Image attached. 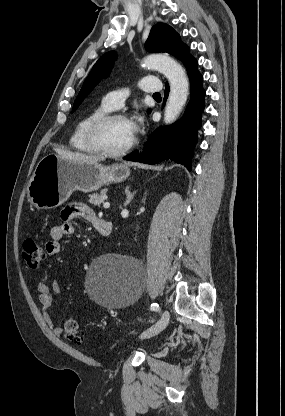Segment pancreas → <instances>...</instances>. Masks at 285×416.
<instances>
[{"instance_id": "cf45deb5", "label": "pancreas", "mask_w": 285, "mask_h": 416, "mask_svg": "<svg viewBox=\"0 0 285 416\" xmlns=\"http://www.w3.org/2000/svg\"><path fill=\"white\" fill-rule=\"evenodd\" d=\"M108 190H101L100 194H89V202L90 204H94V206H100L102 202H104V196H106Z\"/></svg>"}]
</instances>
